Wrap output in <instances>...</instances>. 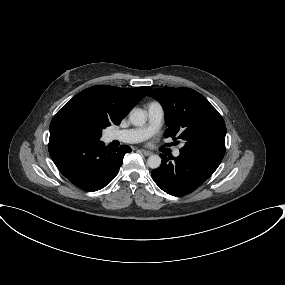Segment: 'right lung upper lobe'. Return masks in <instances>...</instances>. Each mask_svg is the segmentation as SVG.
<instances>
[{"instance_id": "cb5924a9", "label": "right lung upper lobe", "mask_w": 285, "mask_h": 285, "mask_svg": "<svg viewBox=\"0 0 285 285\" xmlns=\"http://www.w3.org/2000/svg\"><path fill=\"white\" fill-rule=\"evenodd\" d=\"M150 90L151 87L123 89L106 85L87 88L75 95L58 111L50 123V134L66 133L65 127L73 121L103 127L119 125Z\"/></svg>"}]
</instances>
